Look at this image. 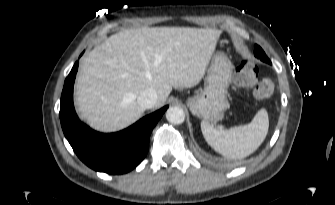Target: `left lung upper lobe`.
<instances>
[{
	"label": "left lung upper lobe",
	"instance_id": "obj_1",
	"mask_svg": "<svg viewBox=\"0 0 335 205\" xmlns=\"http://www.w3.org/2000/svg\"><path fill=\"white\" fill-rule=\"evenodd\" d=\"M254 55L262 60L263 62H266L268 64H271V61L269 58L266 56L265 52L262 50V48L258 45H255L254 47Z\"/></svg>",
	"mask_w": 335,
	"mask_h": 205
}]
</instances>
